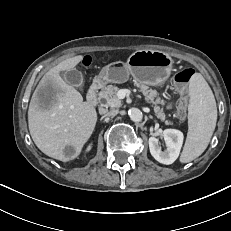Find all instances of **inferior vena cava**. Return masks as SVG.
Returning <instances> with one entry per match:
<instances>
[{"label":"inferior vena cava","instance_id":"1","mask_svg":"<svg viewBox=\"0 0 231 231\" xmlns=\"http://www.w3.org/2000/svg\"><path fill=\"white\" fill-rule=\"evenodd\" d=\"M117 114H118V110L117 109H112V110H110L109 112L106 113V116L114 117Z\"/></svg>","mask_w":231,"mask_h":231}]
</instances>
